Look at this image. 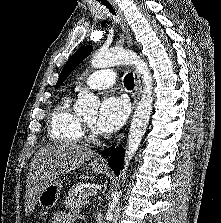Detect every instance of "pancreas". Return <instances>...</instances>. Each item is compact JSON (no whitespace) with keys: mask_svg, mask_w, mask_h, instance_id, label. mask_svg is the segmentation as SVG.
I'll return each instance as SVG.
<instances>
[{"mask_svg":"<svg viewBox=\"0 0 221 223\" xmlns=\"http://www.w3.org/2000/svg\"><path fill=\"white\" fill-rule=\"evenodd\" d=\"M76 186H73L72 189L68 192V196L66 197V201L64 202V206L66 208H81L85 204H87V195L84 190L79 192L76 191Z\"/></svg>","mask_w":221,"mask_h":223,"instance_id":"pancreas-1","label":"pancreas"}]
</instances>
